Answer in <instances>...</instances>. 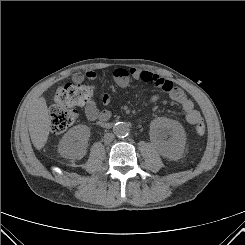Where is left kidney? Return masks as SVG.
<instances>
[{
	"mask_svg": "<svg viewBox=\"0 0 245 245\" xmlns=\"http://www.w3.org/2000/svg\"><path fill=\"white\" fill-rule=\"evenodd\" d=\"M151 134L163 156L174 159L183 152L186 134L179 122L166 118L156 119L151 123Z\"/></svg>",
	"mask_w": 245,
	"mask_h": 245,
	"instance_id": "5707ae66",
	"label": "left kidney"
}]
</instances>
